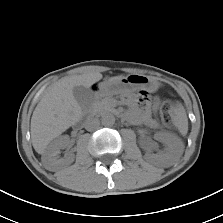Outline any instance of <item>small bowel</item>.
<instances>
[{"mask_svg":"<svg viewBox=\"0 0 223 223\" xmlns=\"http://www.w3.org/2000/svg\"><path fill=\"white\" fill-rule=\"evenodd\" d=\"M140 103L147 108L148 114H155L158 112L161 102L158 97H147V98H142L140 99ZM149 125L154 126L155 125V120L154 119H149L148 120Z\"/></svg>","mask_w":223,"mask_h":223,"instance_id":"small-bowel-1","label":"small bowel"}]
</instances>
